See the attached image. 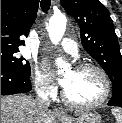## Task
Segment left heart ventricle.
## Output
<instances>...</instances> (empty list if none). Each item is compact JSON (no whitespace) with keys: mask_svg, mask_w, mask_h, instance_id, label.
<instances>
[{"mask_svg":"<svg viewBox=\"0 0 122 123\" xmlns=\"http://www.w3.org/2000/svg\"><path fill=\"white\" fill-rule=\"evenodd\" d=\"M68 96L78 102H92L99 99L105 90L100 74L94 69L69 70L65 73Z\"/></svg>","mask_w":122,"mask_h":123,"instance_id":"obj_1","label":"left heart ventricle"}]
</instances>
